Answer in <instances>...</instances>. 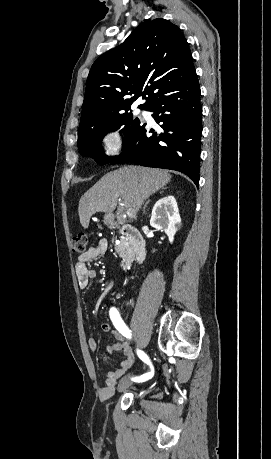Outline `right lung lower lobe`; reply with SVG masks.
Listing matches in <instances>:
<instances>
[{"label":"right lung lower lobe","mask_w":271,"mask_h":459,"mask_svg":"<svg viewBox=\"0 0 271 459\" xmlns=\"http://www.w3.org/2000/svg\"><path fill=\"white\" fill-rule=\"evenodd\" d=\"M196 72L163 90L151 99L146 110L160 128L155 132L146 123L132 134L122 153L111 164L172 169L189 176L198 186L200 172L202 105ZM151 132L152 135H146Z\"/></svg>","instance_id":"right-lung-lower-lobe-1"}]
</instances>
